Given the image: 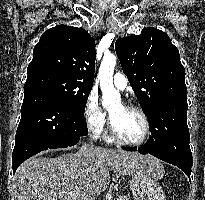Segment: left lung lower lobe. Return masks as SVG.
Here are the masks:
<instances>
[{
	"label": "left lung lower lobe",
	"instance_id": "left-lung-lower-lobe-1",
	"mask_svg": "<svg viewBox=\"0 0 205 200\" xmlns=\"http://www.w3.org/2000/svg\"><path fill=\"white\" fill-rule=\"evenodd\" d=\"M187 109V96L181 95L165 100L155 111V121L150 124L151 135L146 144L141 148L125 149L150 154L176 165L190 180L192 153L189 146Z\"/></svg>",
	"mask_w": 205,
	"mask_h": 200
}]
</instances>
